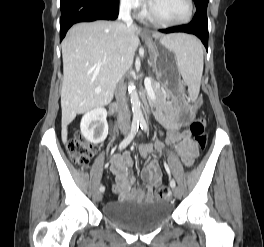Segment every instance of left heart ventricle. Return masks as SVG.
<instances>
[{
    "label": "left heart ventricle",
    "instance_id": "1",
    "mask_svg": "<svg viewBox=\"0 0 264 247\" xmlns=\"http://www.w3.org/2000/svg\"><path fill=\"white\" fill-rule=\"evenodd\" d=\"M154 12L168 21H177L186 17L188 6L186 0H153Z\"/></svg>",
    "mask_w": 264,
    "mask_h": 247
}]
</instances>
